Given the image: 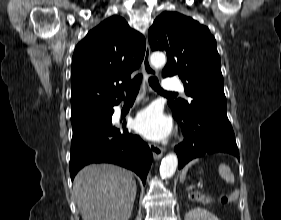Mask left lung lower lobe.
I'll return each mask as SVG.
<instances>
[{
	"instance_id": "1",
	"label": "left lung lower lobe",
	"mask_w": 281,
	"mask_h": 220,
	"mask_svg": "<svg viewBox=\"0 0 281 220\" xmlns=\"http://www.w3.org/2000/svg\"><path fill=\"white\" fill-rule=\"evenodd\" d=\"M172 111L184 135V141L175 147L179 169L190 160L205 154L225 152L239 158L235 135L226 111L210 108L192 115Z\"/></svg>"
}]
</instances>
